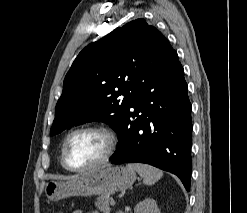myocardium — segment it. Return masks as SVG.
Here are the masks:
<instances>
[{
    "label": "myocardium",
    "instance_id": "myocardium-1",
    "mask_svg": "<svg viewBox=\"0 0 247 213\" xmlns=\"http://www.w3.org/2000/svg\"><path fill=\"white\" fill-rule=\"evenodd\" d=\"M81 132H96V133L102 134L107 141L106 151L100 160H98L97 162H95L89 166L72 167L66 159V147H67V144H68L70 138L72 136H74L75 134H78ZM116 148H117V137L111 129H109L105 126H98V125H88V126L78 127L76 129L70 131L66 135V137L64 138V141H63L62 147H61V157H60L61 163L65 169H67L68 171H71V172L81 173V172L91 171V170L97 169L99 167H102L103 165L108 163L110 161V159L112 158V156L114 155Z\"/></svg>",
    "mask_w": 247,
    "mask_h": 213
}]
</instances>
